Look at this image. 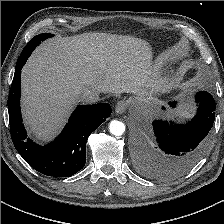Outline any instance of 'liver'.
I'll return each instance as SVG.
<instances>
[{"label": "liver", "instance_id": "liver-1", "mask_svg": "<svg viewBox=\"0 0 224 224\" xmlns=\"http://www.w3.org/2000/svg\"><path fill=\"white\" fill-rule=\"evenodd\" d=\"M151 68V46L132 36L83 33L49 39L22 70L24 123L36 139L49 140L80 102L81 93H137Z\"/></svg>", "mask_w": 224, "mask_h": 224}]
</instances>
